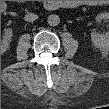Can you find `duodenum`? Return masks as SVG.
<instances>
[{
	"instance_id": "obj_1",
	"label": "duodenum",
	"mask_w": 109,
	"mask_h": 109,
	"mask_svg": "<svg viewBox=\"0 0 109 109\" xmlns=\"http://www.w3.org/2000/svg\"><path fill=\"white\" fill-rule=\"evenodd\" d=\"M42 5L46 9H52V8H57V7H61V6H67V7L73 8V7L77 6V4H75V3H66L63 5V4H57L53 1L44 2Z\"/></svg>"
}]
</instances>
